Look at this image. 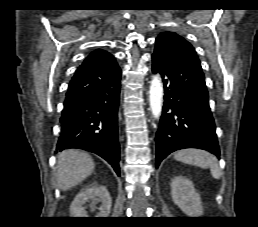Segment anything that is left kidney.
<instances>
[{
	"label": "left kidney",
	"instance_id": "left-kidney-1",
	"mask_svg": "<svg viewBox=\"0 0 258 227\" xmlns=\"http://www.w3.org/2000/svg\"><path fill=\"white\" fill-rule=\"evenodd\" d=\"M171 196L173 202L188 217H199L203 214L201 198L193 183L185 177L177 176L171 181Z\"/></svg>",
	"mask_w": 258,
	"mask_h": 227
}]
</instances>
